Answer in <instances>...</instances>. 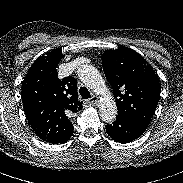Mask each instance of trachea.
Instances as JSON below:
<instances>
[{
  "instance_id": "trachea-1",
  "label": "trachea",
  "mask_w": 183,
  "mask_h": 183,
  "mask_svg": "<svg viewBox=\"0 0 183 183\" xmlns=\"http://www.w3.org/2000/svg\"><path fill=\"white\" fill-rule=\"evenodd\" d=\"M79 92H80V95H81L82 99L91 98V94H90V92L88 91V89L86 87H81Z\"/></svg>"
}]
</instances>
